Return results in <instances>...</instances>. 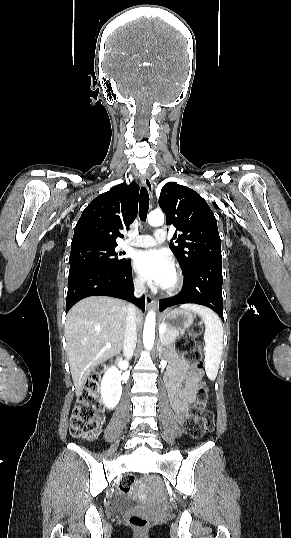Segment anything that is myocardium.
Instances as JSON below:
<instances>
[{"label": "myocardium", "instance_id": "f54148a6", "mask_svg": "<svg viewBox=\"0 0 291 538\" xmlns=\"http://www.w3.org/2000/svg\"><path fill=\"white\" fill-rule=\"evenodd\" d=\"M183 276L182 274L177 270H173V281L171 284L163 286L162 291L165 294H174L178 292L182 286H183Z\"/></svg>", "mask_w": 291, "mask_h": 538}]
</instances>
